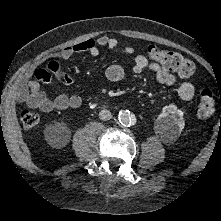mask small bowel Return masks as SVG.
Listing matches in <instances>:
<instances>
[{
  "label": "small bowel",
  "instance_id": "obj_1",
  "mask_svg": "<svg viewBox=\"0 0 221 221\" xmlns=\"http://www.w3.org/2000/svg\"><path fill=\"white\" fill-rule=\"evenodd\" d=\"M102 47L121 49L127 54L134 53L132 46L123 45L119 39L107 35L88 38L74 45L66 46L47 61L45 68H36L25 74L16 91L17 100L26 103L30 108L38 109L42 112L65 110L69 107L78 108L82 102L78 95L59 94L55 98H50L41 90L40 84H51L53 76L65 84H72V78L63 72L58 60H67L73 55L83 52L98 56ZM147 68L154 74L160 84L165 86L178 85V94L182 100L189 101L194 97L195 87L192 83L188 81L178 83V79L173 73L162 68L156 62L150 63L144 55H137L132 68L133 72L140 74ZM105 76L111 82H120L125 77V70L119 64H112L107 67Z\"/></svg>",
  "mask_w": 221,
  "mask_h": 221
}]
</instances>
